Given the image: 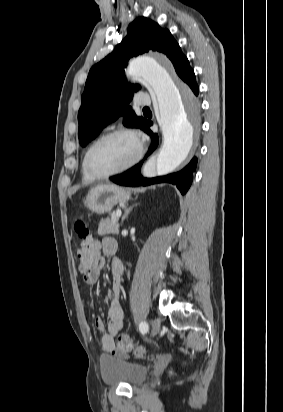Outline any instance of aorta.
Instances as JSON below:
<instances>
[{
  "label": "aorta",
  "mask_w": 283,
  "mask_h": 412,
  "mask_svg": "<svg viewBox=\"0 0 283 412\" xmlns=\"http://www.w3.org/2000/svg\"><path fill=\"white\" fill-rule=\"evenodd\" d=\"M128 74L139 79L156 96L158 122L163 132V146L156 158V174L173 172L189 155L196 135L193 114L196 105L185 85L178 87L170 76V67L149 56L133 59ZM146 174V171H144Z\"/></svg>",
  "instance_id": "1"
}]
</instances>
